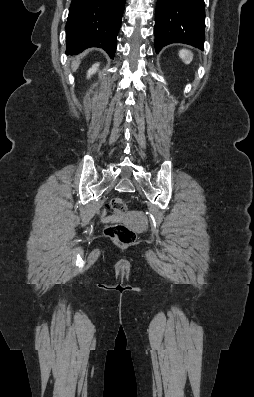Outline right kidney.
I'll list each match as a JSON object with an SVG mask.
<instances>
[{
	"mask_svg": "<svg viewBox=\"0 0 254 397\" xmlns=\"http://www.w3.org/2000/svg\"><path fill=\"white\" fill-rule=\"evenodd\" d=\"M99 67V63H96L92 66V68H90L87 72V78H89L91 75H93L96 71L97 68Z\"/></svg>",
	"mask_w": 254,
	"mask_h": 397,
	"instance_id": "ca27d5eb",
	"label": "right kidney"
}]
</instances>
